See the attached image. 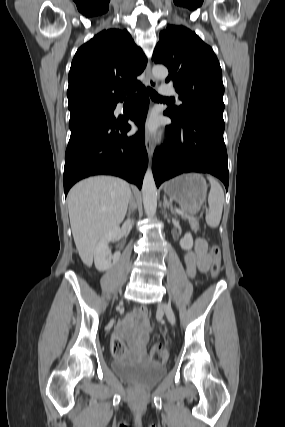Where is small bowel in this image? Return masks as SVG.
Returning <instances> with one entry per match:
<instances>
[{"instance_id":"obj_1","label":"small bowel","mask_w":285,"mask_h":427,"mask_svg":"<svg viewBox=\"0 0 285 427\" xmlns=\"http://www.w3.org/2000/svg\"><path fill=\"white\" fill-rule=\"evenodd\" d=\"M185 266L189 277L193 278L198 271L206 272L211 266L208 244L205 239L195 240L194 250L185 256ZM151 328L147 319V309L140 306L128 313L118 324L114 338L124 339L127 347L125 360H148V340ZM123 341V340H122Z\"/></svg>"}]
</instances>
